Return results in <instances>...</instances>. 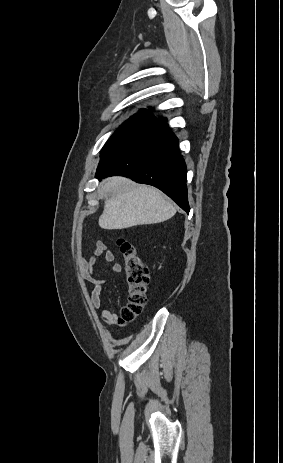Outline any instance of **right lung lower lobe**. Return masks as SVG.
Masks as SVG:
<instances>
[{
  "mask_svg": "<svg viewBox=\"0 0 283 463\" xmlns=\"http://www.w3.org/2000/svg\"><path fill=\"white\" fill-rule=\"evenodd\" d=\"M113 175L155 186L189 213L186 165L165 118L156 119L103 150L96 177Z\"/></svg>",
  "mask_w": 283,
  "mask_h": 463,
  "instance_id": "right-lung-lower-lobe-1",
  "label": "right lung lower lobe"
}]
</instances>
